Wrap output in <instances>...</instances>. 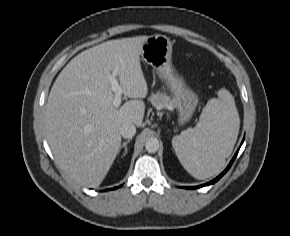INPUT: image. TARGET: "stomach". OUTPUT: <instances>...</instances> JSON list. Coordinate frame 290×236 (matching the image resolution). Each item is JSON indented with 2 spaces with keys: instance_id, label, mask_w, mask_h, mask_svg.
I'll use <instances>...</instances> for the list:
<instances>
[{
  "instance_id": "1",
  "label": "stomach",
  "mask_w": 290,
  "mask_h": 236,
  "mask_svg": "<svg viewBox=\"0 0 290 236\" xmlns=\"http://www.w3.org/2000/svg\"><path fill=\"white\" fill-rule=\"evenodd\" d=\"M171 55L172 43L164 35H151L142 45L141 59L154 68L172 94L173 106L178 113V124L183 125L192 118L198 104V96L174 71Z\"/></svg>"
}]
</instances>
